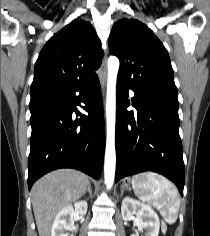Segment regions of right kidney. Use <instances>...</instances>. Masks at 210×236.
Masks as SVG:
<instances>
[{"label":"right kidney","instance_id":"obj_1","mask_svg":"<svg viewBox=\"0 0 210 236\" xmlns=\"http://www.w3.org/2000/svg\"><path fill=\"white\" fill-rule=\"evenodd\" d=\"M87 212V202L79 201L72 205L63 208L56 215L52 229L51 236H67L65 230H75L74 218L78 215H85Z\"/></svg>","mask_w":210,"mask_h":236}]
</instances>
